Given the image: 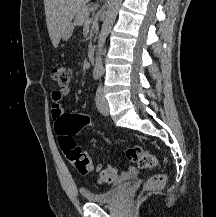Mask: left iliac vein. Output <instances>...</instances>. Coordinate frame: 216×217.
Returning <instances> with one entry per match:
<instances>
[{
    "label": "left iliac vein",
    "instance_id": "4c4485c4",
    "mask_svg": "<svg viewBox=\"0 0 216 217\" xmlns=\"http://www.w3.org/2000/svg\"><path fill=\"white\" fill-rule=\"evenodd\" d=\"M96 106L99 110V112L104 115L108 116L109 114V105L108 102L104 96V93L102 91V88L99 87L96 92Z\"/></svg>",
    "mask_w": 216,
    "mask_h": 217
}]
</instances>
